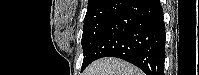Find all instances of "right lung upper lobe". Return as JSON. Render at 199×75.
<instances>
[{
	"label": "right lung upper lobe",
	"instance_id": "1",
	"mask_svg": "<svg viewBox=\"0 0 199 75\" xmlns=\"http://www.w3.org/2000/svg\"><path fill=\"white\" fill-rule=\"evenodd\" d=\"M107 0H88V9L103 4L105 3Z\"/></svg>",
	"mask_w": 199,
	"mask_h": 75
}]
</instances>
